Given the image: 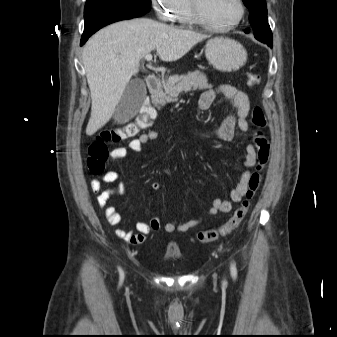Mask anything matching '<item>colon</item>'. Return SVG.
<instances>
[{"label":"colon","instance_id":"5ec220e1","mask_svg":"<svg viewBox=\"0 0 337 337\" xmlns=\"http://www.w3.org/2000/svg\"><path fill=\"white\" fill-rule=\"evenodd\" d=\"M247 83L251 87H256L260 84V77L255 73H248ZM140 106L143 108L136 121L123 126L103 130L90 142L87 150V166L91 174L97 175L103 171L108 158L107 143L120 142L135 137L141 130L151 125V119L158 118V113L151 108L153 106L152 100H141ZM250 121L254 127L253 143L256 148L257 165L256 170L249 178L245 198L224 224L218 228L200 231L197 234V239L201 243H209L232 233L246 217L251 201L260 186L263 170L269 161L270 143L262 132L267 121L263 110L259 106H255L252 109Z\"/></svg>","mask_w":337,"mask_h":337}]
</instances>
